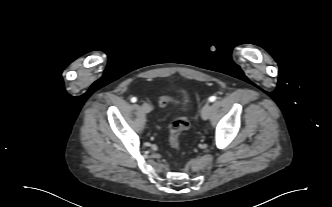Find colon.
<instances>
[{
	"instance_id": "obj_1",
	"label": "colon",
	"mask_w": 332,
	"mask_h": 207,
	"mask_svg": "<svg viewBox=\"0 0 332 207\" xmlns=\"http://www.w3.org/2000/svg\"><path fill=\"white\" fill-rule=\"evenodd\" d=\"M171 100L168 97H163L160 99V104L166 106L170 104ZM189 126L188 119L184 116L175 117L169 126V145L173 150L180 151V135Z\"/></svg>"
}]
</instances>
